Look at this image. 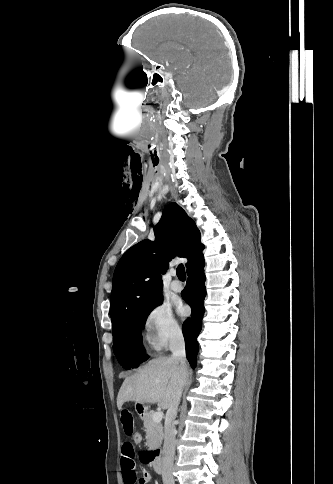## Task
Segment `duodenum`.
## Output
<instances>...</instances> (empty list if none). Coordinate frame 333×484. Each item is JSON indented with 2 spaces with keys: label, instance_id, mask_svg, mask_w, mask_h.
I'll use <instances>...</instances> for the list:
<instances>
[{
  "label": "duodenum",
  "instance_id": "1",
  "mask_svg": "<svg viewBox=\"0 0 333 484\" xmlns=\"http://www.w3.org/2000/svg\"><path fill=\"white\" fill-rule=\"evenodd\" d=\"M151 459L153 464V469L157 474L163 473V464L161 460V452L160 450H154L151 453Z\"/></svg>",
  "mask_w": 333,
  "mask_h": 484
}]
</instances>
